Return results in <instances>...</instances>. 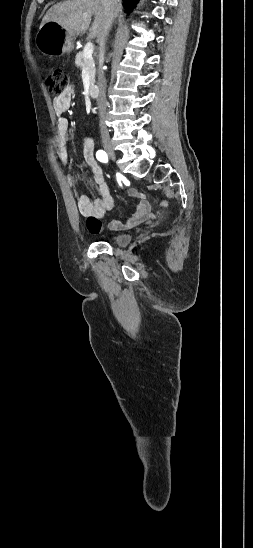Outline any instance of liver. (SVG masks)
Instances as JSON below:
<instances>
[{
    "instance_id": "1",
    "label": "liver",
    "mask_w": 253,
    "mask_h": 548,
    "mask_svg": "<svg viewBox=\"0 0 253 548\" xmlns=\"http://www.w3.org/2000/svg\"><path fill=\"white\" fill-rule=\"evenodd\" d=\"M102 2L103 0H66L57 3L47 11L40 27L50 21L56 22L73 38L89 29L91 17L94 16L89 38H98L104 21ZM121 8L119 1L118 12Z\"/></svg>"
}]
</instances>
